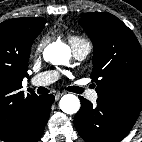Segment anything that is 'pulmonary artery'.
I'll return each instance as SVG.
<instances>
[{"label": "pulmonary artery", "mask_w": 142, "mask_h": 142, "mask_svg": "<svg viewBox=\"0 0 142 142\" xmlns=\"http://www.w3.org/2000/svg\"><path fill=\"white\" fill-rule=\"evenodd\" d=\"M71 47L73 56L77 60H83L90 52V45L87 44H77ZM57 78L58 73L56 71H46L35 75L31 79V83L35 86H47L55 82ZM88 97L91 101H95L98 95L95 91H90Z\"/></svg>", "instance_id": "e3ab8cb5"}]
</instances>
